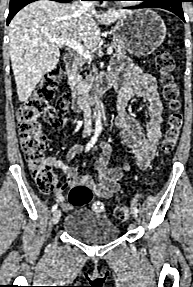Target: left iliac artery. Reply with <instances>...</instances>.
Returning a JSON list of instances; mask_svg holds the SVG:
<instances>
[{
	"mask_svg": "<svg viewBox=\"0 0 193 287\" xmlns=\"http://www.w3.org/2000/svg\"><path fill=\"white\" fill-rule=\"evenodd\" d=\"M133 210H134L135 212H137V213H138V211H139V209H138L137 206H135V205H133Z\"/></svg>",
	"mask_w": 193,
	"mask_h": 287,
	"instance_id": "1",
	"label": "left iliac artery"
}]
</instances>
